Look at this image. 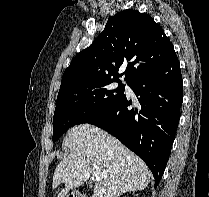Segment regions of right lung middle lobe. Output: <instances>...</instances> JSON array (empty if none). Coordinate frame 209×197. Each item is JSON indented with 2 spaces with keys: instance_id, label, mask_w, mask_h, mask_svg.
I'll list each match as a JSON object with an SVG mask.
<instances>
[{
  "instance_id": "obj_1",
  "label": "right lung middle lobe",
  "mask_w": 209,
  "mask_h": 197,
  "mask_svg": "<svg viewBox=\"0 0 209 197\" xmlns=\"http://www.w3.org/2000/svg\"><path fill=\"white\" fill-rule=\"evenodd\" d=\"M113 82L119 86L111 87ZM124 85L118 80L85 82L59 90L53 118V142L70 127L87 123L124 96Z\"/></svg>"
}]
</instances>
